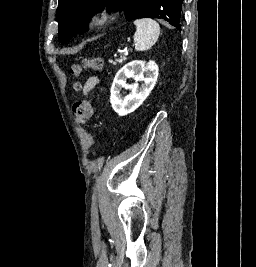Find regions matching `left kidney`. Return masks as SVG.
I'll list each match as a JSON object with an SVG mask.
<instances>
[{
  "label": "left kidney",
  "instance_id": "obj_1",
  "mask_svg": "<svg viewBox=\"0 0 256 267\" xmlns=\"http://www.w3.org/2000/svg\"><path fill=\"white\" fill-rule=\"evenodd\" d=\"M159 74V68L153 60L150 62H141V60H133L129 64H125L119 72H117L114 82L111 86L110 102L113 110L119 116L131 114L136 108H139L151 94ZM128 78H134L136 84H126ZM138 82H143L139 88ZM122 88L129 90L128 96L123 98Z\"/></svg>",
  "mask_w": 256,
  "mask_h": 267
}]
</instances>
